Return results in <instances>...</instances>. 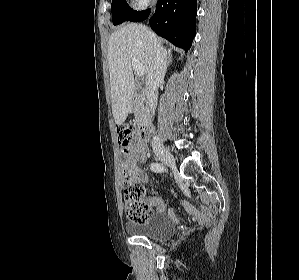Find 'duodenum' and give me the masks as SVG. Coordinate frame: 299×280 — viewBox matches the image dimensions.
Segmentation results:
<instances>
[{"label":"duodenum","mask_w":299,"mask_h":280,"mask_svg":"<svg viewBox=\"0 0 299 280\" xmlns=\"http://www.w3.org/2000/svg\"><path fill=\"white\" fill-rule=\"evenodd\" d=\"M150 133V126L146 122H142L139 126V136L141 139H146Z\"/></svg>","instance_id":"1"}]
</instances>
